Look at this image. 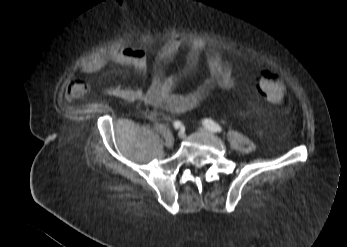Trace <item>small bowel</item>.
<instances>
[{"label": "small bowel", "mask_w": 347, "mask_h": 247, "mask_svg": "<svg viewBox=\"0 0 347 247\" xmlns=\"http://www.w3.org/2000/svg\"><path fill=\"white\" fill-rule=\"evenodd\" d=\"M184 42L179 38H170L163 42L153 59V76L147 89L139 86L113 85L108 91L114 97L129 102L140 101L153 108L148 113L151 120H158L162 110L172 113L191 111L207 97L215 88L230 90L235 86L233 68L214 49L207 48L202 42L192 41L187 44L186 58L182 70L176 74H165V66L183 49ZM204 54L208 75L191 91L178 94L174 90L182 76L190 74L198 65ZM110 62L121 66H129L135 70L136 77L143 79L147 72L148 59L146 51L140 47H112L107 51L92 54L84 58L80 70L85 74L96 73L105 68ZM85 87L77 82L66 89L68 98L80 97Z\"/></svg>", "instance_id": "1"}]
</instances>
